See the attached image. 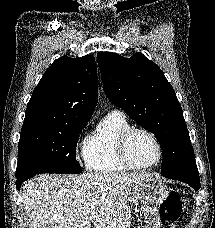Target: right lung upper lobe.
Listing matches in <instances>:
<instances>
[{"label":"right lung upper lobe","mask_w":215,"mask_h":228,"mask_svg":"<svg viewBox=\"0 0 215 228\" xmlns=\"http://www.w3.org/2000/svg\"><path fill=\"white\" fill-rule=\"evenodd\" d=\"M98 98L95 58L67 56L45 71L27 105L22 130L88 122Z\"/></svg>","instance_id":"right-lung-upper-lobe-1"}]
</instances>
